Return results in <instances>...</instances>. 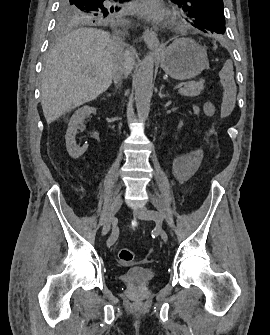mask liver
Returning <instances> with one entry per match:
<instances>
[{
    "mask_svg": "<svg viewBox=\"0 0 270 335\" xmlns=\"http://www.w3.org/2000/svg\"><path fill=\"white\" fill-rule=\"evenodd\" d=\"M124 48L115 36L96 28H78L58 40L42 72L41 106L47 124L96 100L111 86L117 68L125 64L131 74L134 54Z\"/></svg>",
    "mask_w": 270,
    "mask_h": 335,
    "instance_id": "6515ba94",
    "label": "liver"
}]
</instances>
